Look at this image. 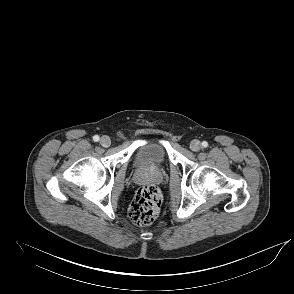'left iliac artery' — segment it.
Instances as JSON below:
<instances>
[{
  "mask_svg": "<svg viewBox=\"0 0 294 294\" xmlns=\"http://www.w3.org/2000/svg\"><path fill=\"white\" fill-rule=\"evenodd\" d=\"M202 146H203L204 148H206V147L208 146V143H207L206 141H203V142H202Z\"/></svg>",
  "mask_w": 294,
  "mask_h": 294,
  "instance_id": "obj_1",
  "label": "left iliac artery"
}]
</instances>
